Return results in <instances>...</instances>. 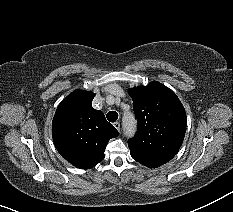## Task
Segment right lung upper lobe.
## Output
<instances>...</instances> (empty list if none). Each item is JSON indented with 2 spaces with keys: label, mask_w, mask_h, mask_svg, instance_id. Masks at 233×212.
Returning <instances> with one entry per match:
<instances>
[{
  "label": "right lung upper lobe",
  "mask_w": 233,
  "mask_h": 212,
  "mask_svg": "<svg viewBox=\"0 0 233 212\" xmlns=\"http://www.w3.org/2000/svg\"><path fill=\"white\" fill-rule=\"evenodd\" d=\"M94 97L93 92L75 90L59 104L52 122L56 149L81 169L101 162L107 143L119 135L103 112L92 108Z\"/></svg>",
  "instance_id": "1"
}]
</instances>
